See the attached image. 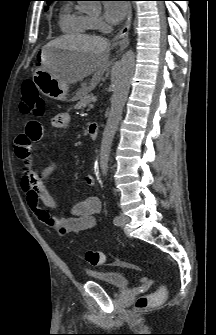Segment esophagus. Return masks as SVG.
Returning a JSON list of instances; mask_svg holds the SVG:
<instances>
[{
	"label": "esophagus",
	"instance_id": "1",
	"mask_svg": "<svg viewBox=\"0 0 216 335\" xmlns=\"http://www.w3.org/2000/svg\"><path fill=\"white\" fill-rule=\"evenodd\" d=\"M131 20H132V6L130 4V10H129V14L127 16L125 25L114 38L115 44L120 45L122 49H125L129 44L128 35H129L130 26H131Z\"/></svg>",
	"mask_w": 216,
	"mask_h": 335
}]
</instances>
